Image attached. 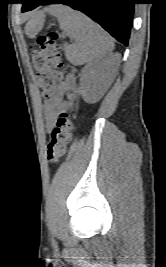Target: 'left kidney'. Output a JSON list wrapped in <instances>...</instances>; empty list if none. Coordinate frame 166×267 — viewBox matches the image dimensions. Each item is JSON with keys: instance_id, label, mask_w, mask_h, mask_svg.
Returning a JSON list of instances; mask_svg holds the SVG:
<instances>
[{"instance_id": "1", "label": "left kidney", "mask_w": 166, "mask_h": 267, "mask_svg": "<svg viewBox=\"0 0 166 267\" xmlns=\"http://www.w3.org/2000/svg\"><path fill=\"white\" fill-rule=\"evenodd\" d=\"M110 70L107 59H96L83 69L80 78V93L88 104H94L103 96L109 85Z\"/></svg>"}]
</instances>
